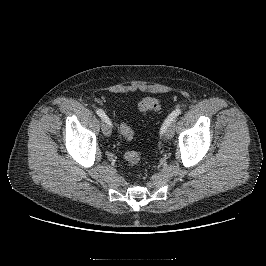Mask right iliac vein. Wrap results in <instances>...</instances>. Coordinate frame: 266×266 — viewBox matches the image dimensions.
Segmentation results:
<instances>
[{
  "instance_id": "63e3f726",
  "label": "right iliac vein",
  "mask_w": 266,
  "mask_h": 266,
  "mask_svg": "<svg viewBox=\"0 0 266 266\" xmlns=\"http://www.w3.org/2000/svg\"><path fill=\"white\" fill-rule=\"evenodd\" d=\"M101 129H102V132H103V134L105 136H110V134H111V126L105 120H103V122H102Z\"/></svg>"
}]
</instances>
